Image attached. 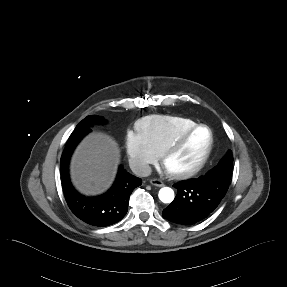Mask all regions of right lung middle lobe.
Returning <instances> with one entry per match:
<instances>
[{
	"label": "right lung middle lobe",
	"instance_id": "1",
	"mask_svg": "<svg viewBox=\"0 0 287 287\" xmlns=\"http://www.w3.org/2000/svg\"><path fill=\"white\" fill-rule=\"evenodd\" d=\"M104 119L103 117L100 116H95V115H90L84 118L77 126L75 129L82 128V127H90L94 123H103Z\"/></svg>",
	"mask_w": 287,
	"mask_h": 287
}]
</instances>
